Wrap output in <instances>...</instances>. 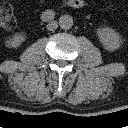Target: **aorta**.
<instances>
[{"instance_id":"aorta-1","label":"aorta","mask_w":128,"mask_h":128,"mask_svg":"<svg viewBox=\"0 0 128 128\" xmlns=\"http://www.w3.org/2000/svg\"><path fill=\"white\" fill-rule=\"evenodd\" d=\"M59 26L60 28L64 29V30H68L70 28H72L73 26V18L70 15H62L59 18Z\"/></svg>"}]
</instances>
